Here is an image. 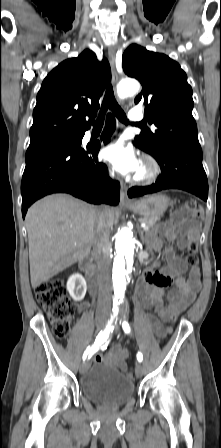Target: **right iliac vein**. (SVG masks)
Returning a JSON list of instances; mask_svg holds the SVG:
<instances>
[{"label": "right iliac vein", "instance_id": "1", "mask_svg": "<svg viewBox=\"0 0 221 448\" xmlns=\"http://www.w3.org/2000/svg\"><path fill=\"white\" fill-rule=\"evenodd\" d=\"M104 323H105V320H104V319H99V320H97V322H96V328H97V331H98V332H99V331H102V330L104 329ZM88 368H89V361H84V362L80 365V368H79L80 373H81V374H84V373L88 370Z\"/></svg>", "mask_w": 221, "mask_h": 448}]
</instances>
